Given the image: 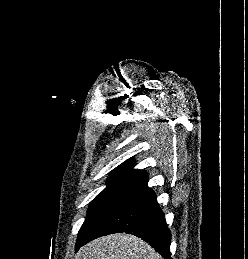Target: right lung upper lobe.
I'll return each instance as SVG.
<instances>
[{"mask_svg":"<svg viewBox=\"0 0 248 259\" xmlns=\"http://www.w3.org/2000/svg\"><path fill=\"white\" fill-rule=\"evenodd\" d=\"M135 162L129 159L127 162L119 165L108 179V183H118L127 185H137L148 178L147 173L133 169Z\"/></svg>","mask_w":248,"mask_h":259,"instance_id":"right-lung-upper-lobe-1","label":"right lung upper lobe"}]
</instances>
